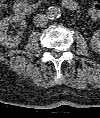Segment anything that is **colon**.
<instances>
[{
  "label": "colon",
  "instance_id": "obj_1",
  "mask_svg": "<svg viewBox=\"0 0 100 118\" xmlns=\"http://www.w3.org/2000/svg\"><path fill=\"white\" fill-rule=\"evenodd\" d=\"M8 3V1H6V4ZM90 15L94 20H97L100 16V7L95 4L93 5V7L90 10Z\"/></svg>",
  "mask_w": 100,
  "mask_h": 118
}]
</instances>
